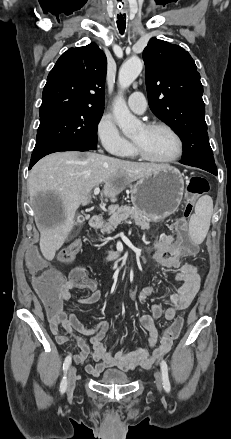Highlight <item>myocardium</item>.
Masks as SVG:
<instances>
[{
	"label": "myocardium",
	"instance_id": "1",
	"mask_svg": "<svg viewBox=\"0 0 231 439\" xmlns=\"http://www.w3.org/2000/svg\"><path fill=\"white\" fill-rule=\"evenodd\" d=\"M146 130H153V129H164L166 131H168L173 138L176 141V152L169 158L166 159H157V158H153L150 155H148L143 148L138 145L136 142H132V146H133V150L134 153L140 157L141 159L148 161V162H152V163H157V164H170L173 163L175 161H177L183 154V150H184V144H183V140L181 138V136L179 135V133L170 125H168L167 123L164 122H151V123H147L143 126Z\"/></svg>",
	"mask_w": 231,
	"mask_h": 439
}]
</instances>
